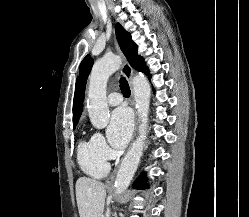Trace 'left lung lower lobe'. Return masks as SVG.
<instances>
[{"label": "left lung lower lobe", "instance_id": "left-lung-lower-lobe-1", "mask_svg": "<svg viewBox=\"0 0 249 217\" xmlns=\"http://www.w3.org/2000/svg\"><path fill=\"white\" fill-rule=\"evenodd\" d=\"M146 75H149V71L145 72ZM150 79V75H149ZM145 178V175H141L140 178L133 184V187L136 189H146L149 186L145 184V182L142 181V179Z\"/></svg>", "mask_w": 249, "mask_h": 217}]
</instances>
